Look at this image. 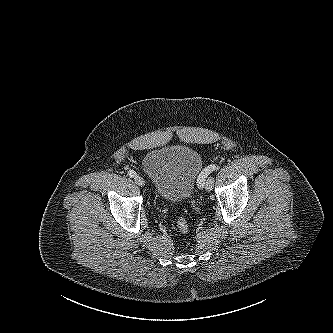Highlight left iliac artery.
<instances>
[{"mask_svg": "<svg viewBox=\"0 0 333 333\" xmlns=\"http://www.w3.org/2000/svg\"><path fill=\"white\" fill-rule=\"evenodd\" d=\"M218 168L217 165H210L208 167H206L200 174L199 178H198V186L200 188H203L204 184H205V179L207 178V176L214 170H216Z\"/></svg>", "mask_w": 333, "mask_h": 333, "instance_id": "44dca946", "label": "left iliac artery"}]
</instances>
